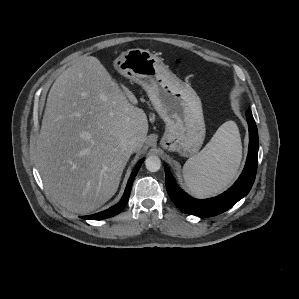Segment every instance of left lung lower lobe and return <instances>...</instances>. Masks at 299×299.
I'll use <instances>...</instances> for the list:
<instances>
[{
    "label": "left lung lower lobe",
    "mask_w": 299,
    "mask_h": 299,
    "mask_svg": "<svg viewBox=\"0 0 299 299\" xmlns=\"http://www.w3.org/2000/svg\"><path fill=\"white\" fill-rule=\"evenodd\" d=\"M249 126V151L245 168L235 184L219 196L198 200L186 194L175 182L171 172L165 168L166 189L174 204L184 213L201 217L221 214L248 194L256 176L258 159V132L250 109L246 111Z\"/></svg>",
    "instance_id": "obj_1"
}]
</instances>
